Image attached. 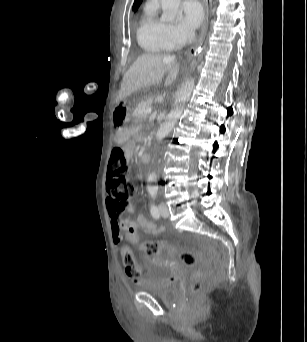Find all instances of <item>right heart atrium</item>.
<instances>
[{
	"label": "right heart atrium",
	"instance_id": "d8ad5b80",
	"mask_svg": "<svg viewBox=\"0 0 307 342\" xmlns=\"http://www.w3.org/2000/svg\"><path fill=\"white\" fill-rule=\"evenodd\" d=\"M158 31L161 38L165 41V43L171 47H177L180 45V38L182 32L179 28L175 26H163L158 25Z\"/></svg>",
	"mask_w": 307,
	"mask_h": 342
}]
</instances>
